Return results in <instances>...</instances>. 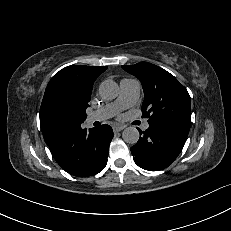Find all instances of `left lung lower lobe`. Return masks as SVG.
<instances>
[{
	"label": "left lung lower lobe",
	"mask_w": 231,
	"mask_h": 231,
	"mask_svg": "<svg viewBox=\"0 0 231 231\" xmlns=\"http://www.w3.org/2000/svg\"><path fill=\"white\" fill-rule=\"evenodd\" d=\"M190 127L167 120H153L139 130L142 137L131 147L134 162L149 171L168 167L181 152Z\"/></svg>",
	"instance_id": "left-lung-lower-lobe-1"
}]
</instances>
